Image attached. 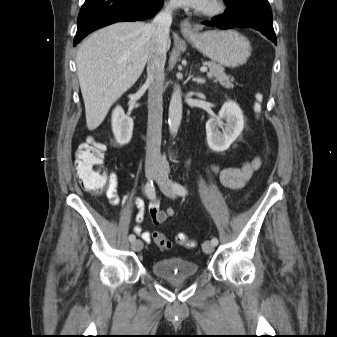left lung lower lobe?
Instances as JSON below:
<instances>
[{"label": "left lung lower lobe", "instance_id": "left-lung-lower-lobe-1", "mask_svg": "<svg viewBox=\"0 0 337 337\" xmlns=\"http://www.w3.org/2000/svg\"><path fill=\"white\" fill-rule=\"evenodd\" d=\"M272 21V12L267 0H237L227 5L224 14L202 23L220 29L250 27L260 31L276 45Z\"/></svg>", "mask_w": 337, "mask_h": 337}]
</instances>
